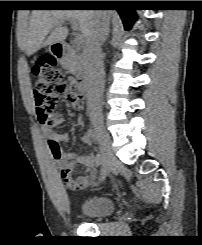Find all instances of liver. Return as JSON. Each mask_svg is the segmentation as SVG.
I'll return each instance as SVG.
<instances>
[{
    "mask_svg": "<svg viewBox=\"0 0 202 245\" xmlns=\"http://www.w3.org/2000/svg\"><path fill=\"white\" fill-rule=\"evenodd\" d=\"M97 14L93 10H34L23 41L26 54L31 56L42 47L64 42L68 29L58 23H64L65 20L77 21L86 41L94 28ZM105 14L110 19L114 13Z\"/></svg>",
    "mask_w": 202,
    "mask_h": 245,
    "instance_id": "liver-1",
    "label": "liver"
}]
</instances>
